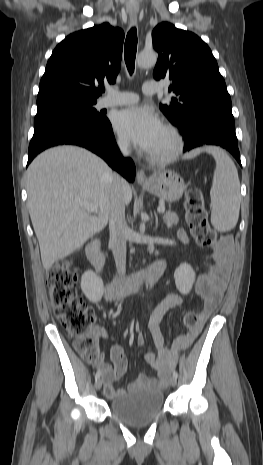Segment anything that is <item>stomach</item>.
<instances>
[{
  "instance_id": "1",
  "label": "stomach",
  "mask_w": 263,
  "mask_h": 465,
  "mask_svg": "<svg viewBox=\"0 0 263 465\" xmlns=\"http://www.w3.org/2000/svg\"><path fill=\"white\" fill-rule=\"evenodd\" d=\"M145 189L162 200L176 202L183 195L185 183L176 172L165 170L153 174Z\"/></svg>"
}]
</instances>
